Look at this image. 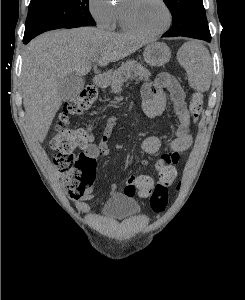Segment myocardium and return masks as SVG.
<instances>
[{"mask_svg": "<svg viewBox=\"0 0 245 300\" xmlns=\"http://www.w3.org/2000/svg\"><path fill=\"white\" fill-rule=\"evenodd\" d=\"M136 0H125L123 6L121 7V16H122V21L123 24L125 25V27L127 29H129L132 32L141 34V35H145V36H159L163 33H165L171 26L172 23V13H171V9L168 6V4L166 3L165 0H158L161 5L163 6V8L166 11V15H167V22L166 25L161 28L160 30L157 31H148L144 28H142L133 18L132 13H131V4L134 3Z\"/></svg>", "mask_w": 245, "mask_h": 300, "instance_id": "myocardium-1", "label": "myocardium"}]
</instances>
